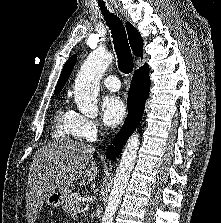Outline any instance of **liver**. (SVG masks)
<instances>
[{"mask_svg": "<svg viewBox=\"0 0 221 223\" xmlns=\"http://www.w3.org/2000/svg\"><path fill=\"white\" fill-rule=\"evenodd\" d=\"M94 152L89 144L69 140L50 142L36 152L27 182L28 223H35L45 199L56 189L78 179L85 186L95 179L98 167L91 160Z\"/></svg>", "mask_w": 221, "mask_h": 223, "instance_id": "obj_1", "label": "liver"}]
</instances>
